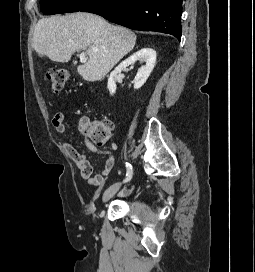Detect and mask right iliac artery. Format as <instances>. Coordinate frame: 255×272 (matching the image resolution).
Instances as JSON below:
<instances>
[{
	"label": "right iliac artery",
	"mask_w": 255,
	"mask_h": 272,
	"mask_svg": "<svg viewBox=\"0 0 255 272\" xmlns=\"http://www.w3.org/2000/svg\"><path fill=\"white\" fill-rule=\"evenodd\" d=\"M125 166H126V169H127V174H126V178L124 179V182H128L132 178L133 170H132V166H131L130 163L126 162Z\"/></svg>",
	"instance_id": "obj_1"
}]
</instances>
